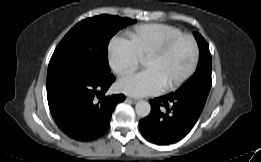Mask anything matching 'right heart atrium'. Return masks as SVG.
<instances>
[{"label": "right heart atrium", "instance_id": "d8ad5b80", "mask_svg": "<svg viewBox=\"0 0 261 162\" xmlns=\"http://www.w3.org/2000/svg\"><path fill=\"white\" fill-rule=\"evenodd\" d=\"M107 56L110 68L119 76L133 72L141 62L129 41L122 37L110 42Z\"/></svg>", "mask_w": 261, "mask_h": 162}]
</instances>
